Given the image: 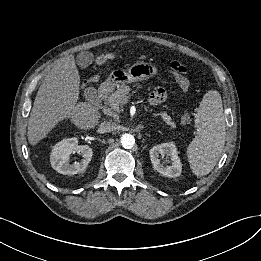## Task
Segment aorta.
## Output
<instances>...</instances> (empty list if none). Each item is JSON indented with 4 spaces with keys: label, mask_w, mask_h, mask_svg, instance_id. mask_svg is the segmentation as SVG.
<instances>
[{
    "label": "aorta",
    "mask_w": 261,
    "mask_h": 261,
    "mask_svg": "<svg viewBox=\"0 0 261 261\" xmlns=\"http://www.w3.org/2000/svg\"><path fill=\"white\" fill-rule=\"evenodd\" d=\"M121 144L125 149H131L135 144L133 135L125 133L121 136Z\"/></svg>",
    "instance_id": "aorta-1"
}]
</instances>
